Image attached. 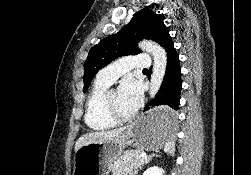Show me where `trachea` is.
<instances>
[{"label": "trachea", "mask_w": 251, "mask_h": 175, "mask_svg": "<svg viewBox=\"0 0 251 175\" xmlns=\"http://www.w3.org/2000/svg\"><path fill=\"white\" fill-rule=\"evenodd\" d=\"M143 72H148L149 70L147 68H143Z\"/></svg>", "instance_id": "1"}]
</instances>
